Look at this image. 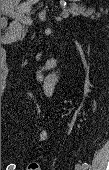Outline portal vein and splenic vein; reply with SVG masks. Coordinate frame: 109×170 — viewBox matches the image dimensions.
Masks as SVG:
<instances>
[{
    "instance_id": "1",
    "label": "portal vein and splenic vein",
    "mask_w": 109,
    "mask_h": 170,
    "mask_svg": "<svg viewBox=\"0 0 109 170\" xmlns=\"http://www.w3.org/2000/svg\"><path fill=\"white\" fill-rule=\"evenodd\" d=\"M2 12L5 15L10 16L16 20H19L20 22L27 24V25H31L33 22L32 19L30 17H27L24 12L14 11L13 6H6V8L3 7ZM68 16L69 14H63L62 17H56V20L61 21L63 18H67Z\"/></svg>"
}]
</instances>
